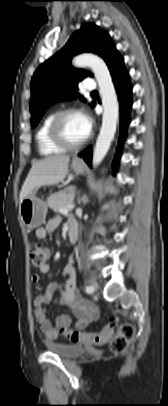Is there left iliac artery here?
Wrapping results in <instances>:
<instances>
[{"label":"left iliac artery","mask_w":168,"mask_h":406,"mask_svg":"<svg viewBox=\"0 0 168 406\" xmlns=\"http://www.w3.org/2000/svg\"><path fill=\"white\" fill-rule=\"evenodd\" d=\"M85 291H86V293L91 294L94 292V288H93V286H87L85 288Z\"/></svg>","instance_id":"obj_1"}]
</instances>
